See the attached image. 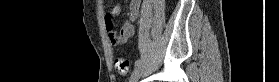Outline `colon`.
I'll use <instances>...</instances> for the list:
<instances>
[{
    "label": "colon",
    "instance_id": "5ec220e1",
    "mask_svg": "<svg viewBox=\"0 0 279 82\" xmlns=\"http://www.w3.org/2000/svg\"><path fill=\"white\" fill-rule=\"evenodd\" d=\"M114 66L121 75H127L130 72V64L126 57L119 56L115 59Z\"/></svg>",
    "mask_w": 279,
    "mask_h": 82
}]
</instances>
